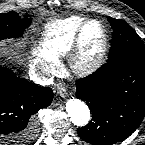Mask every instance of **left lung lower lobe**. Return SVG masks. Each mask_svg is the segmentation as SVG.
<instances>
[{
  "label": "left lung lower lobe",
  "instance_id": "obj_1",
  "mask_svg": "<svg viewBox=\"0 0 145 145\" xmlns=\"http://www.w3.org/2000/svg\"><path fill=\"white\" fill-rule=\"evenodd\" d=\"M76 97L86 101L91 121L78 135L94 145H109L131 135L145 116V62H107L76 83Z\"/></svg>",
  "mask_w": 145,
  "mask_h": 145
}]
</instances>
